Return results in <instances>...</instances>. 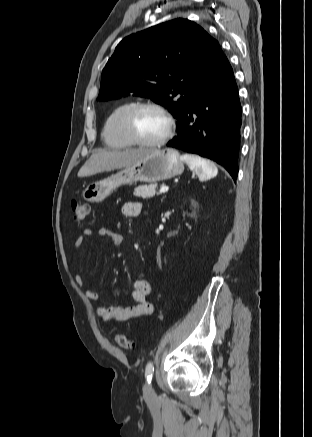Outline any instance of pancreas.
Here are the masks:
<instances>
[{"label": "pancreas", "instance_id": "1", "mask_svg": "<svg viewBox=\"0 0 312 437\" xmlns=\"http://www.w3.org/2000/svg\"><path fill=\"white\" fill-rule=\"evenodd\" d=\"M156 187H157V185H155V184H152L149 186H146V185L138 186L134 190V195L137 197H142L144 199L152 198L156 194V190H155Z\"/></svg>", "mask_w": 312, "mask_h": 437}]
</instances>
